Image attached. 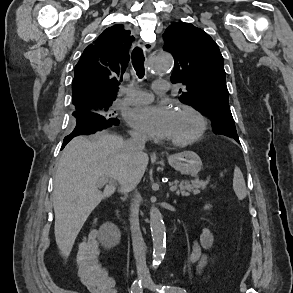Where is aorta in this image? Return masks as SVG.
Returning a JSON list of instances; mask_svg holds the SVG:
<instances>
[{
    "instance_id": "aorta-1",
    "label": "aorta",
    "mask_w": 293,
    "mask_h": 293,
    "mask_svg": "<svg viewBox=\"0 0 293 293\" xmlns=\"http://www.w3.org/2000/svg\"><path fill=\"white\" fill-rule=\"evenodd\" d=\"M173 66L172 56L163 50H155L147 65L148 72L152 75L164 74ZM150 228L153 241V263L157 264L166 251V228L160 211L153 207L150 211Z\"/></svg>"
}]
</instances>
